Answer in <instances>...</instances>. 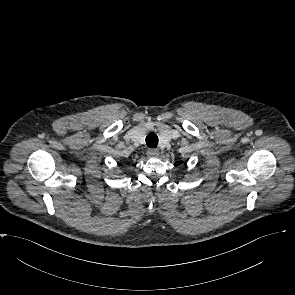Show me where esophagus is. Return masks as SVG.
<instances>
[{"mask_svg":"<svg viewBox=\"0 0 295 295\" xmlns=\"http://www.w3.org/2000/svg\"><path fill=\"white\" fill-rule=\"evenodd\" d=\"M159 155V151L157 149H149L147 151V156L150 158L157 157Z\"/></svg>","mask_w":295,"mask_h":295,"instance_id":"1","label":"esophagus"}]
</instances>
